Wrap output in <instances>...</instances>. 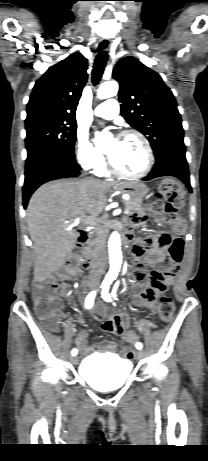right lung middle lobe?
I'll return each mask as SVG.
<instances>
[{
  "instance_id": "obj_1",
  "label": "right lung middle lobe",
  "mask_w": 208,
  "mask_h": 461,
  "mask_svg": "<svg viewBox=\"0 0 208 461\" xmlns=\"http://www.w3.org/2000/svg\"><path fill=\"white\" fill-rule=\"evenodd\" d=\"M26 161L46 151H57L75 158L76 120L62 117H27Z\"/></svg>"
}]
</instances>
